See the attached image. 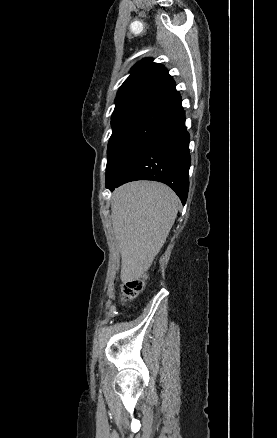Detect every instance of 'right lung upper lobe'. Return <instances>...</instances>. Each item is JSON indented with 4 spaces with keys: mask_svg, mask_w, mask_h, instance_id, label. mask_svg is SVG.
<instances>
[{
    "mask_svg": "<svg viewBox=\"0 0 277 438\" xmlns=\"http://www.w3.org/2000/svg\"><path fill=\"white\" fill-rule=\"evenodd\" d=\"M179 101L181 96L167 69L147 58L131 69L130 76L118 90L112 117L169 111Z\"/></svg>",
    "mask_w": 277,
    "mask_h": 438,
    "instance_id": "obj_1",
    "label": "right lung upper lobe"
}]
</instances>
